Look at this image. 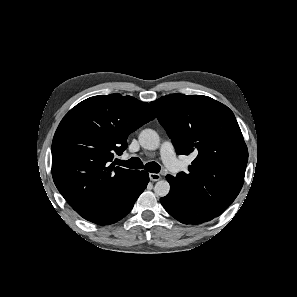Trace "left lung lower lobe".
Listing matches in <instances>:
<instances>
[{
    "label": "left lung lower lobe",
    "mask_w": 297,
    "mask_h": 297,
    "mask_svg": "<svg viewBox=\"0 0 297 297\" xmlns=\"http://www.w3.org/2000/svg\"><path fill=\"white\" fill-rule=\"evenodd\" d=\"M166 179L170 183L171 189L169 194L161 198L160 201L165 210L175 219L184 224L196 225L217 217L187 198L181 190L171 184L168 175Z\"/></svg>",
    "instance_id": "0a47b994"
}]
</instances>
